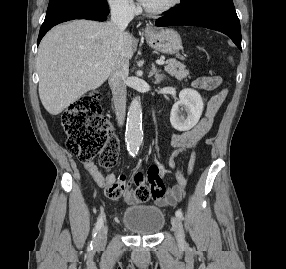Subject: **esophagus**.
Returning <instances> with one entry per match:
<instances>
[{
	"label": "esophagus",
	"instance_id": "esophagus-1",
	"mask_svg": "<svg viewBox=\"0 0 286 269\" xmlns=\"http://www.w3.org/2000/svg\"><path fill=\"white\" fill-rule=\"evenodd\" d=\"M152 30H153L152 24H148V25L145 27V32H146V33H150Z\"/></svg>",
	"mask_w": 286,
	"mask_h": 269
}]
</instances>
